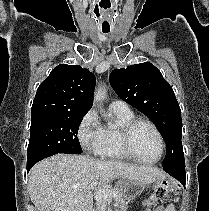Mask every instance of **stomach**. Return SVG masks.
<instances>
[{"label":"stomach","instance_id":"obj_1","mask_svg":"<svg viewBox=\"0 0 209 211\" xmlns=\"http://www.w3.org/2000/svg\"><path fill=\"white\" fill-rule=\"evenodd\" d=\"M119 187L127 200L137 198L144 190V185L135 180H121Z\"/></svg>","mask_w":209,"mask_h":211}]
</instances>
